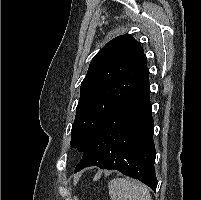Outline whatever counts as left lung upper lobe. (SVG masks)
<instances>
[{
  "label": "left lung upper lobe",
  "mask_w": 201,
  "mask_h": 200,
  "mask_svg": "<svg viewBox=\"0 0 201 200\" xmlns=\"http://www.w3.org/2000/svg\"><path fill=\"white\" fill-rule=\"evenodd\" d=\"M148 75L143 48L131 35L109 41L93 57L81 83L71 146L85 152L108 114Z\"/></svg>",
  "instance_id": "left-lung-upper-lobe-1"
}]
</instances>
